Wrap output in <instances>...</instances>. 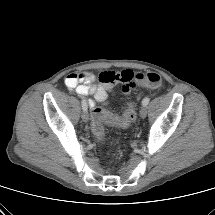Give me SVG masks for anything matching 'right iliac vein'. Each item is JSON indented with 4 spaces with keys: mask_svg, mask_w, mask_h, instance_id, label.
Returning <instances> with one entry per match:
<instances>
[{
    "mask_svg": "<svg viewBox=\"0 0 215 215\" xmlns=\"http://www.w3.org/2000/svg\"><path fill=\"white\" fill-rule=\"evenodd\" d=\"M82 119L84 122H87L88 121V112L87 110H83V113H82Z\"/></svg>",
    "mask_w": 215,
    "mask_h": 215,
    "instance_id": "63e3f726",
    "label": "right iliac vein"
}]
</instances>
